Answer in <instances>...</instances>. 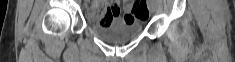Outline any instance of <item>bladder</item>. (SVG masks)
<instances>
[{
    "mask_svg": "<svg viewBox=\"0 0 235 62\" xmlns=\"http://www.w3.org/2000/svg\"><path fill=\"white\" fill-rule=\"evenodd\" d=\"M90 28L101 40L119 44L136 38L142 32V23L139 19L132 21L118 19L108 26L92 23Z\"/></svg>",
    "mask_w": 235,
    "mask_h": 62,
    "instance_id": "bladder-1",
    "label": "bladder"
}]
</instances>
